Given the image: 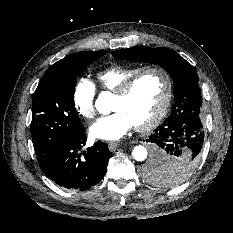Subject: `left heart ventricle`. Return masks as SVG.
<instances>
[{
  "mask_svg": "<svg viewBox=\"0 0 233 233\" xmlns=\"http://www.w3.org/2000/svg\"><path fill=\"white\" fill-rule=\"evenodd\" d=\"M165 93L163 76L158 72H147L135 82L125 97L114 96L111 108L113 111H124L139 125L150 120L162 104Z\"/></svg>",
  "mask_w": 233,
  "mask_h": 233,
  "instance_id": "obj_1",
  "label": "left heart ventricle"
}]
</instances>
